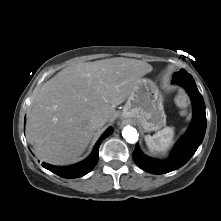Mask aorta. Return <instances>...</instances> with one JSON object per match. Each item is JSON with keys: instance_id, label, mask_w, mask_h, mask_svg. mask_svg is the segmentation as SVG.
I'll list each match as a JSON object with an SVG mask.
<instances>
[{"instance_id": "obj_1", "label": "aorta", "mask_w": 221, "mask_h": 221, "mask_svg": "<svg viewBox=\"0 0 221 221\" xmlns=\"http://www.w3.org/2000/svg\"><path fill=\"white\" fill-rule=\"evenodd\" d=\"M122 136L128 143H135L138 140L139 134L132 126H126L122 130Z\"/></svg>"}]
</instances>
